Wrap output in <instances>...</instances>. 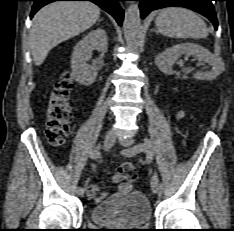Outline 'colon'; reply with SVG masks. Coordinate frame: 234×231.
Listing matches in <instances>:
<instances>
[{"mask_svg": "<svg viewBox=\"0 0 234 231\" xmlns=\"http://www.w3.org/2000/svg\"><path fill=\"white\" fill-rule=\"evenodd\" d=\"M71 87V75L64 74L54 85L47 100V136L54 145L64 144L68 136V129L72 119L69 104ZM136 177V169L130 162L122 163L113 176L116 182L123 179L134 181Z\"/></svg>", "mask_w": 234, "mask_h": 231, "instance_id": "1", "label": "colon"}]
</instances>
